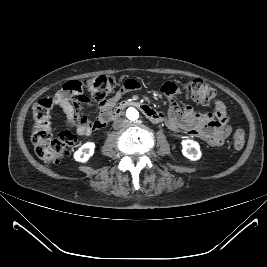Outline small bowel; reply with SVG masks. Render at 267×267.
Here are the masks:
<instances>
[{"instance_id":"c3829d8e","label":"small bowel","mask_w":267,"mask_h":267,"mask_svg":"<svg viewBox=\"0 0 267 267\" xmlns=\"http://www.w3.org/2000/svg\"><path fill=\"white\" fill-rule=\"evenodd\" d=\"M137 80H126L120 91L105 103L99 105V115L92 121L83 113V105L88 98L83 94L79 81L73 80L63 84L55 94L54 102L59 105L68 120L77 121V134L89 136L94 130L102 128L108 121L109 114L122 93L140 89ZM183 89L176 82L167 81L161 87V93L169 100L167 127L173 132H184L205 141L211 146H221L231 132L226 106L221 101L215 102L213 112H196L191 106H179L174 97Z\"/></svg>"}]
</instances>
